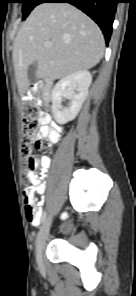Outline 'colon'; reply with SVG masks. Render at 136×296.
I'll list each match as a JSON object with an SVG mask.
<instances>
[{
  "instance_id": "colon-1",
  "label": "colon",
  "mask_w": 136,
  "mask_h": 296,
  "mask_svg": "<svg viewBox=\"0 0 136 296\" xmlns=\"http://www.w3.org/2000/svg\"><path fill=\"white\" fill-rule=\"evenodd\" d=\"M23 115L21 121V138L23 143L24 155V173L28 181H34L35 173L38 168V160L35 157V151L45 149L49 146L48 139L36 138L35 132L41 127L40 108L27 97V101L21 105ZM35 188L27 185L24 190L25 214L29 221H38L40 219L39 210L35 205Z\"/></svg>"
}]
</instances>
